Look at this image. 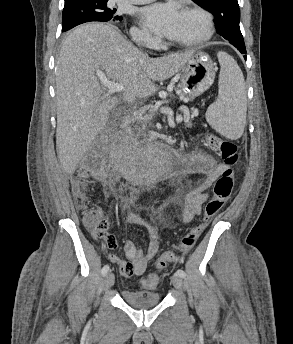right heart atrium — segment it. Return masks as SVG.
Listing matches in <instances>:
<instances>
[{
    "label": "right heart atrium",
    "instance_id": "d8ad5b80",
    "mask_svg": "<svg viewBox=\"0 0 293 344\" xmlns=\"http://www.w3.org/2000/svg\"><path fill=\"white\" fill-rule=\"evenodd\" d=\"M131 37L134 41L141 43L146 47L153 48L157 45V39L143 29L136 27L132 28Z\"/></svg>",
    "mask_w": 293,
    "mask_h": 344
}]
</instances>
